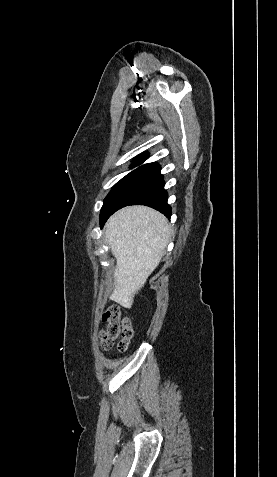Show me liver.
Here are the masks:
<instances>
[{
	"instance_id": "obj_1",
	"label": "liver",
	"mask_w": 277,
	"mask_h": 477,
	"mask_svg": "<svg viewBox=\"0 0 277 477\" xmlns=\"http://www.w3.org/2000/svg\"><path fill=\"white\" fill-rule=\"evenodd\" d=\"M170 232L167 218L146 206H128L109 218L106 242L116 258L111 300L132 307L134 296L164 256Z\"/></svg>"
}]
</instances>
